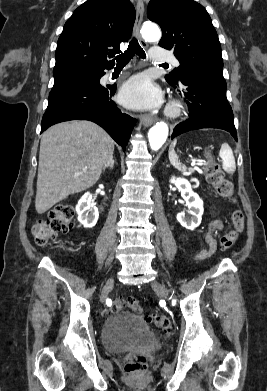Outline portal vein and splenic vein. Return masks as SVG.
<instances>
[{
  "mask_svg": "<svg viewBox=\"0 0 267 391\" xmlns=\"http://www.w3.org/2000/svg\"><path fill=\"white\" fill-rule=\"evenodd\" d=\"M191 165H192V166H196V165H200V163H196V161L192 159V160H191Z\"/></svg>",
  "mask_w": 267,
  "mask_h": 391,
  "instance_id": "1",
  "label": "portal vein and splenic vein"
}]
</instances>
